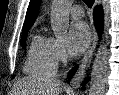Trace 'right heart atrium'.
<instances>
[{"mask_svg": "<svg viewBox=\"0 0 119 95\" xmlns=\"http://www.w3.org/2000/svg\"><path fill=\"white\" fill-rule=\"evenodd\" d=\"M53 42H54V55H55L56 62L62 63L68 57L65 43L56 39H53Z\"/></svg>", "mask_w": 119, "mask_h": 95, "instance_id": "d8ad5b80", "label": "right heart atrium"}]
</instances>
